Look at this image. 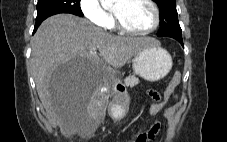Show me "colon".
<instances>
[{
    "mask_svg": "<svg viewBox=\"0 0 227 142\" xmlns=\"http://www.w3.org/2000/svg\"><path fill=\"white\" fill-rule=\"evenodd\" d=\"M181 80V75L179 73H176L171 81L169 82L166 90L163 93V96L161 99L157 102H154L148 109L147 111V121L152 120L158 112L161 110L162 106L164 103L170 98V96L173 94L175 87ZM145 124L140 127L138 130L133 132L132 134L128 135L125 137L123 140L120 142H137L138 139L146 132L144 128Z\"/></svg>",
    "mask_w": 227,
    "mask_h": 142,
    "instance_id": "obj_1",
    "label": "colon"
}]
</instances>
